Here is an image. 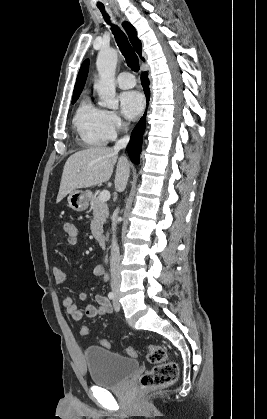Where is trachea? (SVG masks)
I'll use <instances>...</instances> for the list:
<instances>
[{
    "instance_id": "3493384b",
    "label": "trachea",
    "mask_w": 267,
    "mask_h": 419,
    "mask_svg": "<svg viewBox=\"0 0 267 419\" xmlns=\"http://www.w3.org/2000/svg\"><path fill=\"white\" fill-rule=\"evenodd\" d=\"M99 9L105 19V21L110 24L109 16L106 13L103 6H99ZM112 33L115 36L116 42L118 44V47L120 51L122 52L123 56L126 59L127 65L135 72H138L139 67V59L134 50L132 49L126 35L121 31V29L116 26H111Z\"/></svg>"
}]
</instances>
